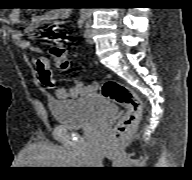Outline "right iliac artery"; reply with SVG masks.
<instances>
[{"label":"right iliac artery","mask_w":192,"mask_h":180,"mask_svg":"<svg viewBox=\"0 0 192 180\" xmlns=\"http://www.w3.org/2000/svg\"><path fill=\"white\" fill-rule=\"evenodd\" d=\"M88 14L86 12H82L78 21V25L81 28L85 22V20L87 19Z\"/></svg>","instance_id":"82829eb1"}]
</instances>
